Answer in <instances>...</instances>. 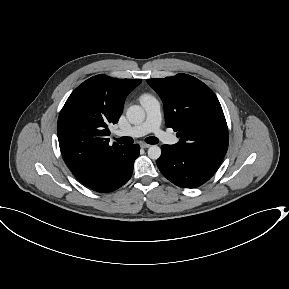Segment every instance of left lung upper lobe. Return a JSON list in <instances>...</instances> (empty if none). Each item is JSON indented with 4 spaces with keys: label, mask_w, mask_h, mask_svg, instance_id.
Instances as JSON below:
<instances>
[{
    "label": "left lung upper lobe",
    "mask_w": 289,
    "mask_h": 289,
    "mask_svg": "<svg viewBox=\"0 0 289 289\" xmlns=\"http://www.w3.org/2000/svg\"><path fill=\"white\" fill-rule=\"evenodd\" d=\"M164 104L167 127L177 131L175 147L222 161L228 149V128L213 91L197 78L179 73L148 79Z\"/></svg>",
    "instance_id": "5c2ea615"
}]
</instances>
